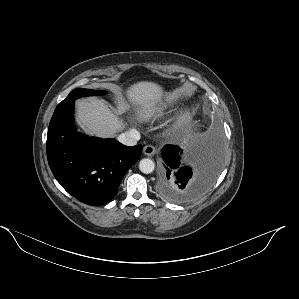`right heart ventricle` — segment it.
<instances>
[{"label":"right heart ventricle","instance_id":"e07e8e85","mask_svg":"<svg viewBox=\"0 0 299 299\" xmlns=\"http://www.w3.org/2000/svg\"><path fill=\"white\" fill-rule=\"evenodd\" d=\"M169 106L166 101L155 102L141 111V116L146 119L161 117L168 110Z\"/></svg>","mask_w":299,"mask_h":299}]
</instances>
